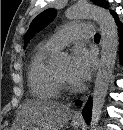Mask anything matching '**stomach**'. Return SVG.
Wrapping results in <instances>:
<instances>
[{
	"instance_id": "0dacf381",
	"label": "stomach",
	"mask_w": 123,
	"mask_h": 130,
	"mask_svg": "<svg viewBox=\"0 0 123 130\" xmlns=\"http://www.w3.org/2000/svg\"><path fill=\"white\" fill-rule=\"evenodd\" d=\"M71 125H72L74 128H77V127L80 126V122L77 121V120H72V121H71Z\"/></svg>"
}]
</instances>
